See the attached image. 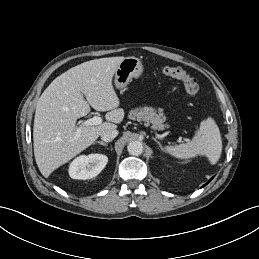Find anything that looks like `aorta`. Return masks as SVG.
Wrapping results in <instances>:
<instances>
[{"label":"aorta","mask_w":259,"mask_h":259,"mask_svg":"<svg viewBox=\"0 0 259 259\" xmlns=\"http://www.w3.org/2000/svg\"><path fill=\"white\" fill-rule=\"evenodd\" d=\"M127 150L133 156L141 155L143 152V143L138 140L131 141L127 146Z\"/></svg>","instance_id":"762f6f07"}]
</instances>
